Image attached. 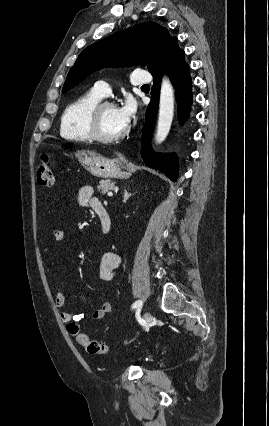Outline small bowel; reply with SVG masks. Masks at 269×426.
Listing matches in <instances>:
<instances>
[{
  "label": "small bowel",
  "instance_id": "1",
  "mask_svg": "<svg viewBox=\"0 0 269 426\" xmlns=\"http://www.w3.org/2000/svg\"><path fill=\"white\" fill-rule=\"evenodd\" d=\"M77 201L80 207L90 208L95 211L96 208L102 206L101 202L94 196V189L90 185L82 186L78 192ZM53 238L56 242L60 243L64 239V232L62 228L55 227L52 231ZM56 249L46 243L42 248V257L44 259V268L46 276L49 278L52 275V268L48 261L53 259ZM121 256L117 252H107L102 256L99 275L102 280L110 281L115 278L116 270L121 264ZM67 293L61 289L55 294V305L58 309L64 307L66 303ZM113 304L111 301H105L98 309L93 311L92 318L95 320H102L108 313L111 312ZM60 319L67 323L71 321H80L84 318V314L78 312H71L68 310H61Z\"/></svg>",
  "mask_w": 269,
  "mask_h": 426
}]
</instances>
